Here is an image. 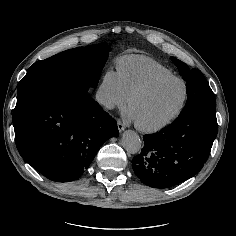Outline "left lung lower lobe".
<instances>
[{
	"mask_svg": "<svg viewBox=\"0 0 236 236\" xmlns=\"http://www.w3.org/2000/svg\"><path fill=\"white\" fill-rule=\"evenodd\" d=\"M218 125L216 111L191 109L158 133L143 136L144 147L133 158L140 180L168 188L196 175L206 162Z\"/></svg>",
	"mask_w": 236,
	"mask_h": 236,
	"instance_id": "0a47b994",
	"label": "left lung lower lobe"
}]
</instances>
